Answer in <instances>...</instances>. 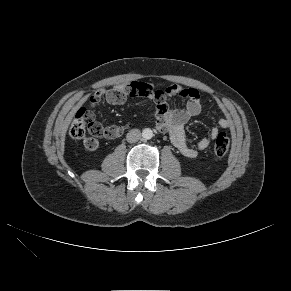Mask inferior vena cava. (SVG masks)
I'll return each mask as SVG.
<instances>
[{
  "label": "inferior vena cava",
  "mask_w": 291,
  "mask_h": 291,
  "mask_svg": "<svg viewBox=\"0 0 291 291\" xmlns=\"http://www.w3.org/2000/svg\"><path fill=\"white\" fill-rule=\"evenodd\" d=\"M141 138V132L139 129H132L127 133L126 139L129 143H135Z\"/></svg>",
  "instance_id": "inferior-vena-cava-1"
}]
</instances>
